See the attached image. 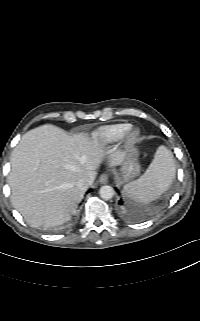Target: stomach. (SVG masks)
Listing matches in <instances>:
<instances>
[{"label": "stomach", "instance_id": "stomach-1", "mask_svg": "<svg viewBox=\"0 0 200 321\" xmlns=\"http://www.w3.org/2000/svg\"><path fill=\"white\" fill-rule=\"evenodd\" d=\"M137 157L138 151L135 148H131L124 157L121 163V168L116 173V177L119 182H129L139 176L141 167Z\"/></svg>", "mask_w": 200, "mask_h": 321}]
</instances>
